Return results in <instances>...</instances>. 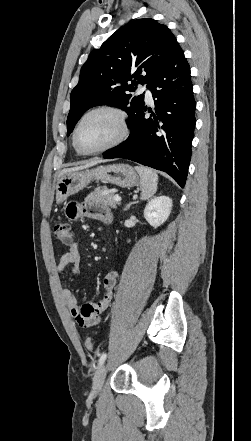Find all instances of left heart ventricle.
Segmentation results:
<instances>
[{"mask_svg":"<svg viewBox=\"0 0 251 441\" xmlns=\"http://www.w3.org/2000/svg\"><path fill=\"white\" fill-rule=\"evenodd\" d=\"M120 125L117 118L109 112H97L85 119L78 141L82 149L91 151L98 149L117 137Z\"/></svg>","mask_w":251,"mask_h":441,"instance_id":"b2bd125f","label":"left heart ventricle"}]
</instances>
